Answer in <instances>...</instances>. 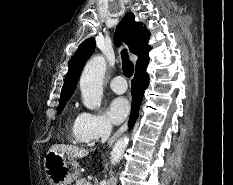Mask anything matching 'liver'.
I'll list each match as a JSON object with an SVG mask.
<instances>
[{"instance_id":"obj_1","label":"liver","mask_w":233,"mask_h":185,"mask_svg":"<svg viewBox=\"0 0 233 185\" xmlns=\"http://www.w3.org/2000/svg\"><path fill=\"white\" fill-rule=\"evenodd\" d=\"M49 151H54L63 155H67L69 158L72 159L83 158L89 154V151L85 148H79L77 146L65 144H54Z\"/></svg>"}]
</instances>
